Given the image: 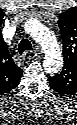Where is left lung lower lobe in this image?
<instances>
[{
    "mask_svg": "<svg viewBox=\"0 0 77 125\" xmlns=\"http://www.w3.org/2000/svg\"><path fill=\"white\" fill-rule=\"evenodd\" d=\"M50 79H51V78H50ZM49 83H50V86H51L52 89H54L55 91H57V92H59V93H63L62 91L58 90V88L55 89L54 83H52L51 81H50Z\"/></svg>",
    "mask_w": 77,
    "mask_h": 125,
    "instance_id": "0a47b994",
    "label": "left lung lower lobe"
}]
</instances>
